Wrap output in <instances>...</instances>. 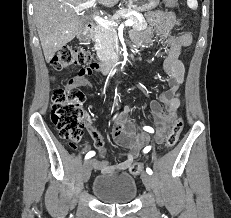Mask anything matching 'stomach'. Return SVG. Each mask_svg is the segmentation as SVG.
Here are the masks:
<instances>
[{"label": "stomach", "instance_id": "1", "mask_svg": "<svg viewBox=\"0 0 231 218\" xmlns=\"http://www.w3.org/2000/svg\"><path fill=\"white\" fill-rule=\"evenodd\" d=\"M128 1H129L130 8L139 12L154 9L159 4V0H128Z\"/></svg>", "mask_w": 231, "mask_h": 218}]
</instances>
